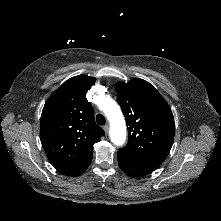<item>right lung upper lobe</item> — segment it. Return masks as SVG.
<instances>
[{"label": "right lung upper lobe", "instance_id": "obj_1", "mask_svg": "<svg viewBox=\"0 0 221 221\" xmlns=\"http://www.w3.org/2000/svg\"><path fill=\"white\" fill-rule=\"evenodd\" d=\"M95 81L87 75L68 79L48 98L42 111L43 148L54 168L67 176H77L88 168L93 145L105 135L86 99Z\"/></svg>", "mask_w": 221, "mask_h": 221}]
</instances>
